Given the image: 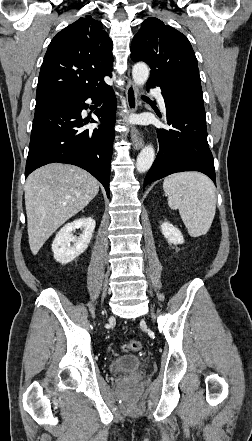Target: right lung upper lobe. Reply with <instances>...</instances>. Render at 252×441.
Returning <instances> with one entry per match:
<instances>
[{
	"instance_id": "1",
	"label": "right lung upper lobe",
	"mask_w": 252,
	"mask_h": 441,
	"mask_svg": "<svg viewBox=\"0 0 252 441\" xmlns=\"http://www.w3.org/2000/svg\"><path fill=\"white\" fill-rule=\"evenodd\" d=\"M113 63L112 41L101 22L91 16L60 31L45 54L36 102L70 91L99 90L107 86Z\"/></svg>"
}]
</instances>
